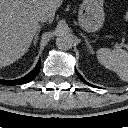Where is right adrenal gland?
<instances>
[{
  "label": "right adrenal gland",
  "instance_id": "2a0ac1e0",
  "mask_svg": "<svg viewBox=\"0 0 128 128\" xmlns=\"http://www.w3.org/2000/svg\"><path fill=\"white\" fill-rule=\"evenodd\" d=\"M41 28H42V25L39 26V29L34 37V40H33V45L35 46L37 44V41H38V36H39V33L41 31Z\"/></svg>",
  "mask_w": 128,
  "mask_h": 128
}]
</instances>
